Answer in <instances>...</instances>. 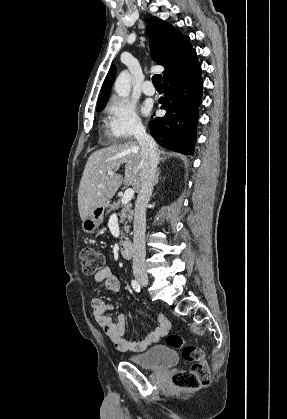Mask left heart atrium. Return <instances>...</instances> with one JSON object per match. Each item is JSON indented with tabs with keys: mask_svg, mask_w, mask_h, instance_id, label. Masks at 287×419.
<instances>
[{
	"mask_svg": "<svg viewBox=\"0 0 287 419\" xmlns=\"http://www.w3.org/2000/svg\"><path fill=\"white\" fill-rule=\"evenodd\" d=\"M148 111H149V108H148L147 106H144V107H143V112H144V113H147Z\"/></svg>",
	"mask_w": 287,
	"mask_h": 419,
	"instance_id": "left-heart-atrium-1",
	"label": "left heart atrium"
}]
</instances>
